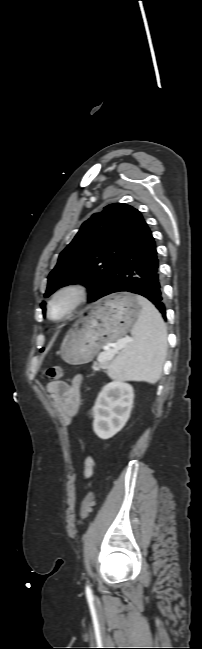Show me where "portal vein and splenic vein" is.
<instances>
[{
  "label": "portal vein and splenic vein",
  "instance_id": "18ae733b",
  "mask_svg": "<svg viewBox=\"0 0 202 649\" xmlns=\"http://www.w3.org/2000/svg\"><path fill=\"white\" fill-rule=\"evenodd\" d=\"M132 341H133V339H131V338H122V339H120V340L118 341L117 346L115 347V350H119V349L123 348V346H124L125 344H127V343H129V342H132ZM110 350H111V349L109 348L108 351H110ZM113 357H114V354H113V353H111V352H109V353H107V352H103V353H101V354L98 356V361H103V360H112ZM93 369H94V370H98V367H97V366H94Z\"/></svg>",
  "mask_w": 202,
  "mask_h": 649
}]
</instances>
